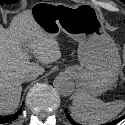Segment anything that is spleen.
<instances>
[{
    "instance_id": "spleen-1",
    "label": "spleen",
    "mask_w": 125,
    "mask_h": 125,
    "mask_svg": "<svg viewBox=\"0 0 125 125\" xmlns=\"http://www.w3.org/2000/svg\"><path fill=\"white\" fill-rule=\"evenodd\" d=\"M124 107L123 100L103 102L78 91L73 98L70 111L73 119L83 125H100L115 118Z\"/></svg>"
}]
</instances>
